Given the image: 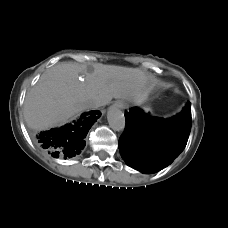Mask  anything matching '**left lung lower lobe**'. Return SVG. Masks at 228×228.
Listing matches in <instances>:
<instances>
[{"label":"left lung lower lobe","mask_w":228,"mask_h":228,"mask_svg":"<svg viewBox=\"0 0 228 228\" xmlns=\"http://www.w3.org/2000/svg\"><path fill=\"white\" fill-rule=\"evenodd\" d=\"M126 128L119 150L126 164L143 173L157 172L185 148L191 130V103L168 119L145 115L132 108L125 113Z\"/></svg>","instance_id":"1"}]
</instances>
